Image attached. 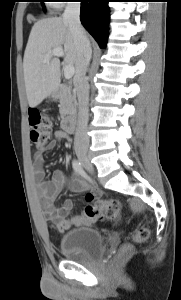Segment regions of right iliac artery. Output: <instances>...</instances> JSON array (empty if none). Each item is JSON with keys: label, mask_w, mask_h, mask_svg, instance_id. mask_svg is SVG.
Returning <instances> with one entry per match:
<instances>
[{"label": "right iliac artery", "mask_w": 181, "mask_h": 300, "mask_svg": "<svg viewBox=\"0 0 181 300\" xmlns=\"http://www.w3.org/2000/svg\"><path fill=\"white\" fill-rule=\"evenodd\" d=\"M72 167L77 173H79V174L84 173L82 164L78 160H73Z\"/></svg>", "instance_id": "1"}]
</instances>
